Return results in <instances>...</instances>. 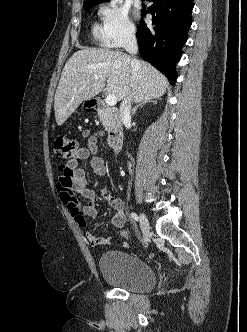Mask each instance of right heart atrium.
Segmentation results:
<instances>
[{
  "label": "right heart atrium",
  "mask_w": 247,
  "mask_h": 332,
  "mask_svg": "<svg viewBox=\"0 0 247 332\" xmlns=\"http://www.w3.org/2000/svg\"><path fill=\"white\" fill-rule=\"evenodd\" d=\"M99 15L106 45L117 48L134 38L135 27L129 18L128 9L118 0H109L102 4Z\"/></svg>",
  "instance_id": "1"
}]
</instances>
